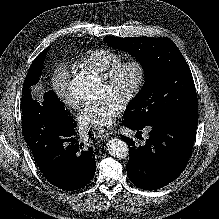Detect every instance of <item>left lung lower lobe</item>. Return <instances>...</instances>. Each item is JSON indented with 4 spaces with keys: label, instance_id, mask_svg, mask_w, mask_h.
I'll list each match as a JSON object with an SVG mask.
<instances>
[{
    "label": "left lung lower lobe",
    "instance_id": "obj_1",
    "mask_svg": "<svg viewBox=\"0 0 219 219\" xmlns=\"http://www.w3.org/2000/svg\"><path fill=\"white\" fill-rule=\"evenodd\" d=\"M122 123L137 130V135L142 133L144 127L150 130L145 145L137 148L132 139L123 137L130 146L127 174L136 186L144 190H156L179 177L192 155L198 115L147 125H137L126 119Z\"/></svg>",
    "mask_w": 219,
    "mask_h": 219
}]
</instances>
